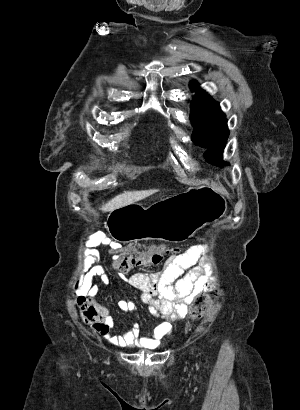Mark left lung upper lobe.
I'll return each instance as SVG.
<instances>
[{"mask_svg": "<svg viewBox=\"0 0 300 410\" xmlns=\"http://www.w3.org/2000/svg\"><path fill=\"white\" fill-rule=\"evenodd\" d=\"M192 90L198 88L196 82H192ZM190 120L194 131L192 141L206 147L208 150L204 157L212 164L222 166V153L226 139L229 135L225 114L221 111L219 103L211 99L204 91H197L192 101Z\"/></svg>", "mask_w": 300, "mask_h": 410, "instance_id": "left-lung-upper-lobe-1", "label": "left lung upper lobe"}]
</instances>
